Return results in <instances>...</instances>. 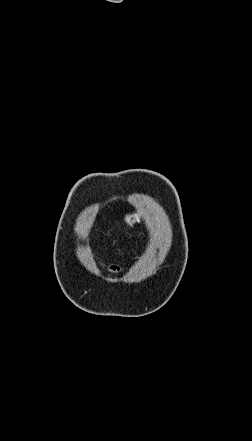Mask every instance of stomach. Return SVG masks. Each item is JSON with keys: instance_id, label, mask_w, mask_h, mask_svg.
Returning a JSON list of instances; mask_svg holds the SVG:
<instances>
[{"instance_id": "1", "label": "stomach", "mask_w": 252, "mask_h": 441, "mask_svg": "<svg viewBox=\"0 0 252 441\" xmlns=\"http://www.w3.org/2000/svg\"><path fill=\"white\" fill-rule=\"evenodd\" d=\"M125 222L132 226L135 222H139L140 221V216L137 213L134 214H127L124 218Z\"/></svg>"}]
</instances>
